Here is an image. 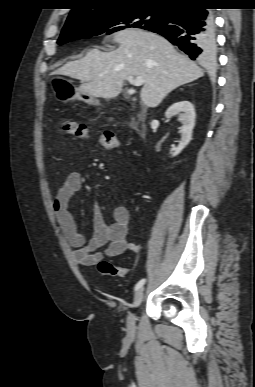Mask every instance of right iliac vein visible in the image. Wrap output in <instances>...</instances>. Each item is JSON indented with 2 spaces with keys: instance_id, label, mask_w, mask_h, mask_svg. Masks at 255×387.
I'll use <instances>...</instances> for the list:
<instances>
[{
  "instance_id": "63e3f726",
  "label": "right iliac vein",
  "mask_w": 255,
  "mask_h": 387,
  "mask_svg": "<svg viewBox=\"0 0 255 387\" xmlns=\"http://www.w3.org/2000/svg\"><path fill=\"white\" fill-rule=\"evenodd\" d=\"M143 298H144V288H140L137 290V292L134 295L133 307L137 308L142 303ZM135 321H136L135 314L130 313L127 317V328L130 333L134 332Z\"/></svg>"
}]
</instances>
